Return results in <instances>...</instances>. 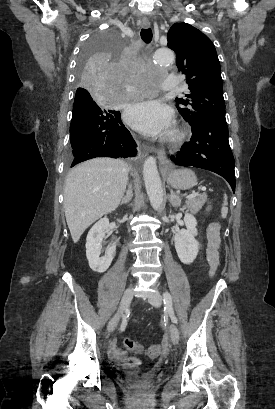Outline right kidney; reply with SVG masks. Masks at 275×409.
I'll use <instances>...</instances> for the list:
<instances>
[{
  "label": "right kidney",
  "mask_w": 275,
  "mask_h": 409,
  "mask_svg": "<svg viewBox=\"0 0 275 409\" xmlns=\"http://www.w3.org/2000/svg\"><path fill=\"white\" fill-rule=\"evenodd\" d=\"M109 219H100L90 229L86 239V257L90 269L95 273H105L109 269L115 255L116 245H110L105 251L104 257H100L105 233H109Z\"/></svg>",
  "instance_id": "1"
}]
</instances>
